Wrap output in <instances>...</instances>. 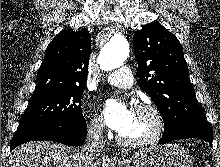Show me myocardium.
<instances>
[{"label":"myocardium","instance_id":"obj_1","mask_svg":"<svg viewBox=\"0 0 220 167\" xmlns=\"http://www.w3.org/2000/svg\"><path fill=\"white\" fill-rule=\"evenodd\" d=\"M135 109L141 112H148L153 116L155 120L154 130L149 136L140 140H129L118 134V143L127 147L137 148L152 145L159 141L165 131V119L162 112L155 105L149 103L138 104Z\"/></svg>","mask_w":220,"mask_h":167}]
</instances>
